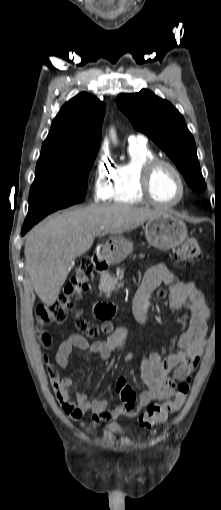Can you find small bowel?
I'll return each instance as SVG.
<instances>
[{
	"label": "small bowel",
	"instance_id": "1",
	"mask_svg": "<svg viewBox=\"0 0 221 510\" xmlns=\"http://www.w3.org/2000/svg\"><path fill=\"white\" fill-rule=\"evenodd\" d=\"M170 288L169 308L172 311L185 309L188 312V327L176 338L177 350L166 356L150 354L144 358L138 368L146 389L137 397L129 387L123 375L115 382V390L122 404L109 408L106 399L89 400L85 393L76 392L74 400L70 389L74 379L60 376V370L69 366L74 349L87 350L102 360L109 359L114 353L125 352L128 330L119 328L109 337L89 343L83 336L72 334L64 340L56 354V365L50 369L56 374L54 391L63 412L73 421H78L87 412L92 413L95 422L99 419L114 422L119 416H136L152 401L167 400L175 394L176 381H182L198 366L206 344L208 334L209 310L202 292L192 281H183L166 265L149 269L136 292L134 308L139 323L147 322L148 297L159 285ZM127 359L132 355L126 353ZM174 374L171 375V372Z\"/></svg>",
	"mask_w": 221,
	"mask_h": 510
}]
</instances>
